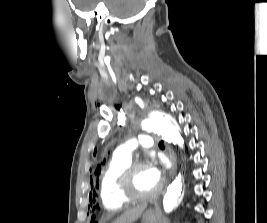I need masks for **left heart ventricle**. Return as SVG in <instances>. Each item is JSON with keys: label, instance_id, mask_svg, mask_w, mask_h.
<instances>
[{"label": "left heart ventricle", "instance_id": "left-heart-ventricle-1", "mask_svg": "<svg viewBox=\"0 0 267 223\" xmlns=\"http://www.w3.org/2000/svg\"><path fill=\"white\" fill-rule=\"evenodd\" d=\"M149 175V167L140 168L133 178V189L136 193L147 194L155 191L158 188Z\"/></svg>", "mask_w": 267, "mask_h": 223}]
</instances>
